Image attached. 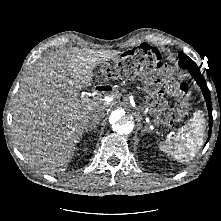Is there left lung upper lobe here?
<instances>
[{"mask_svg":"<svg viewBox=\"0 0 221 221\" xmlns=\"http://www.w3.org/2000/svg\"><path fill=\"white\" fill-rule=\"evenodd\" d=\"M180 61L179 64L182 68L192 70V69H198L196 63L191 60L187 55L183 53H179Z\"/></svg>","mask_w":221,"mask_h":221,"instance_id":"5c2ea615","label":"left lung upper lobe"}]
</instances>
